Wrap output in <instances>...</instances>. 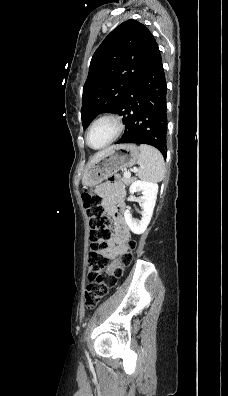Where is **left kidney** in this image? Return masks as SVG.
Returning <instances> with one entry per match:
<instances>
[{"label":"left kidney","mask_w":228,"mask_h":396,"mask_svg":"<svg viewBox=\"0 0 228 396\" xmlns=\"http://www.w3.org/2000/svg\"><path fill=\"white\" fill-rule=\"evenodd\" d=\"M129 190L131 194L135 192L142 193V218L141 220L133 219L129 209L125 211L124 218L128 227L133 233L142 234L146 230L153 214L157 199L158 184L148 181L136 180L131 184Z\"/></svg>","instance_id":"5707ae66"}]
</instances>
